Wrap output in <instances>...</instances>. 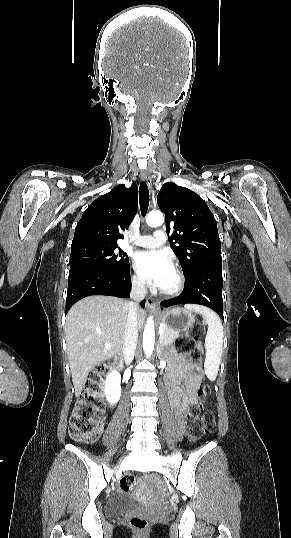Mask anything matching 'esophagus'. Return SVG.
<instances>
[{
  "label": "esophagus",
  "instance_id": "esophagus-1",
  "mask_svg": "<svg viewBox=\"0 0 291 538\" xmlns=\"http://www.w3.org/2000/svg\"><path fill=\"white\" fill-rule=\"evenodd\" d=\"M141 177H142V180L147 184L149 189H151L152 188V182H151V177H150L149 172L147 170H144L142 172V174H141ZM146 306L151 310H156L157 302L153 298L147 297L146 298Z\"/></svg>",
  "mask_w": 291,
  "mask_h": 538
}]
</instances>
